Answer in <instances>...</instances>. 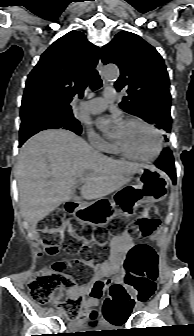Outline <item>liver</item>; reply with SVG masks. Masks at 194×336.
Returning <instances> with one entry per match:
<instances>
[{
    "instance_id": "obj_1",
    "label": "liver",
    "mask_w": 194,
    "mask_h": 336,
    "mask_svg": "<svg viewBox=\"0 0 194 336\" xmlns=\"http://www.w3.org/2000/svg\"><path fill=\"white\" fill-rule=\"evenodd\" d=\"M142 165L113 160L93 149L82 138L65 130L40 132L21 147L16 174L20 208L34 230L37 223L73 198L81 178V196L103 198L131 181Z\"/></svg>"
}]
</instances>
